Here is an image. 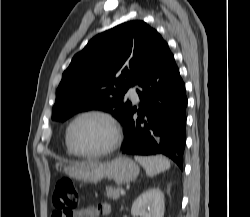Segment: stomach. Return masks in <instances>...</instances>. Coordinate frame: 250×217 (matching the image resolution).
Wrapping results in <instances>:
<instances>
[{
    "label": "stomach",
    "instance_id": "0dacf381",
    "mask_svg": "<svg viewBox=\"0 0 250 217\" xmlns=\"http://www.w3.org/2000/svg\"><path fill=\"white\" fill-rule=\"evenodd\" d=\"M65 171L70 176L87 182L97 183L109 178L117 184H125L137 178L139 167L130 158L118 157L107 163L88 161L72 164Z\"/></svg>",
    "mask_w": 250,
    "mask_h": 217
}]
</instances>
